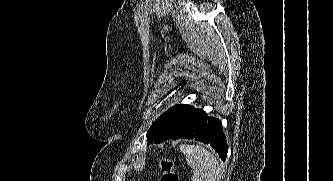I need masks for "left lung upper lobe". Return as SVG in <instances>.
Returning a JSON list of instances; mask_svg holds the SVG:
<instances>
[{"mask_svg":"<svg viewBox=\"0 0 333 181\" xmlns=\"http://www.w3.org/2000/svg\"><path fill=\"white\" fill-rule=\"evenodd\" d=\"M201 110L189 105H175L158 117L147 132L148 143L155 138L171 139L179 134Z\"/></svg>","mask_w":333,"mask_h":181,"instance_id":"5c2ea615","label":"left lung upper lobe"}]
</instances>
